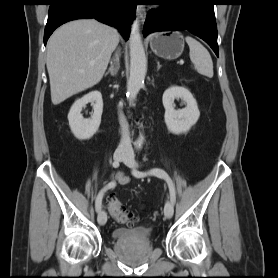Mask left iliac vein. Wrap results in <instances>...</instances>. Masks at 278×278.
<instances>
[{"instance_id": "obj_1", "label": "left iliac vein", "mask_w": 278, "mask_h": 278, "mask_svg": "<svg viewBox=\"0 0 278 278\" xmlns=\"http://www.w3.org/2000/svg\"><path fill=\"white\" fill-rule=\"evenodd\" d=\"M124 163L130 168H136L138 166V163L136 162V160L134 159V156L132 154H129L126 157V159L124 160ZM173 213H174L173 202L168 199L165 203L164 215L166 218L169 219L173 216Z\"/></svg>"}]
</instances>
